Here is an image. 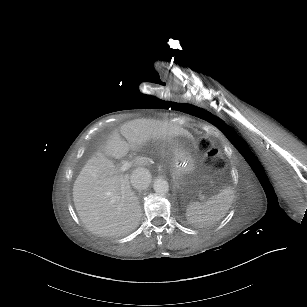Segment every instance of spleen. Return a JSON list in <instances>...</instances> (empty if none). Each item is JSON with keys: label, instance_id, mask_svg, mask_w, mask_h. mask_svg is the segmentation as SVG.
<instances>
[{"label": "spleen", "instance_id": "1", "mask_svg": "<svg viewBox=\"0 0 307 307\" xmlns=\"http://www.w3.org/2000/svg\"><path fill=\"white\" fill-rule=\"evenodd\" d=\"M234 198L233 190L224 188L204 204H190L185 209L189 221L198 227H209L223 218Z\"/></svg>", "mask_w": 307, "mask_h": 307}]
</instances>
